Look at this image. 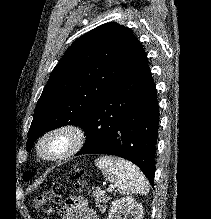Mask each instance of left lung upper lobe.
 <instances>
[{
  "instance_id": "1",
  "label": "left lung upper lobe",
  "mask_w": 211,
  "mask_h": 219,
  "mask_svg": "<svg viewBox=\"0 0 211 219\" xmlns=\"http://www.w3.org/2000/svg\"><path fill=\"white\" fill-rule=\"evenodd\" d=\"M143 50L133 32L106 23L78 38L53 69L37 102L27 147L46 131L73 124L89 114ZM31 173L24 174L28 180Z\"/></svg>"
}]
</instances>
